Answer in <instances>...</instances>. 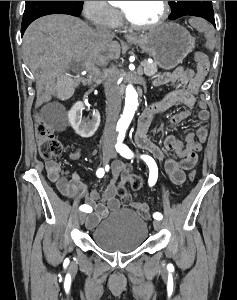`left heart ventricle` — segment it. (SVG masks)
I'll return each instance as SVG.
<instances>
[{"label": "left heart ventricle", "instance_id": "b2bd125f", "mask_svg": "<svg viewBox=\"0 0 237 300\" xmlns=\"http://www.w3.org/2000/svg\"><path fill=\"white\" fill-rule=\"evenodd\" d=\"M121 8L141 25L154 23L163 11L162 1H122Z\"/></svg>", "mask_w": 237, "mask_h": 300}]
</instances>
